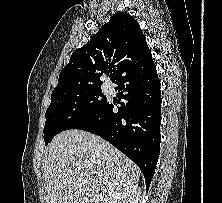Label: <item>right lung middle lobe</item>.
Listing matches in <instances>:
<instances>
[{"instance_id": "1", "label": "right lung middle lobe", "mask_w": 222, "mask_h": 203, "mask_svg": "<svg viewBox=\"0 0 222 203\" xmlns=\"http://www.w3.org/2000/svg\"><path fill=\"white\" fill-rule=\"evenodd\" d=\"M100 86L85 85L52 92L51 103L45 114V145L107 101Z\"/></svg>"}]
</instances>
